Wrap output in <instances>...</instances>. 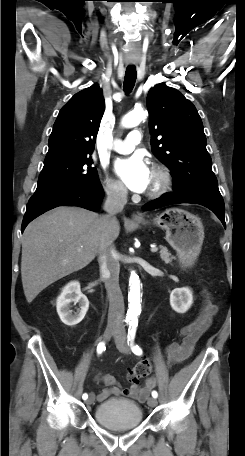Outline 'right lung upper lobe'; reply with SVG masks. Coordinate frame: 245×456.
<instances>
[{
    "instance_id": "obj_1",
    "label": "right lung upper lobe",
    "mask_w": 245,
    "mask_h": 456,
    "mask_svg": "<svg viewBox=\"0 0 245 456\" xmlns=\"http://www.w3.org/2000/svg\"><path fill=\"white\" fill-rule=\"evenodd\" d=\"M104 110L97 84L76 93L58 114L44 165L92 153Z\"/></svg>"
}]
</instances>
